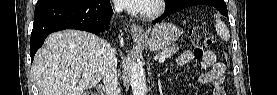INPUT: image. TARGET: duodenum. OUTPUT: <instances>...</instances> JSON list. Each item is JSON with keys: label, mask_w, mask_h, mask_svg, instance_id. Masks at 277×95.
Instances as JSON below:
<instances>
[{"label": "duodenum", "mask_w": 277, "mask_h": 95, "mask_svg": "<svg viewBox=\"0 0 277 95\" xmlns=\"http://www.w3.org/2000/svg\"><path fill=\"white\" fill-rule=\"evenodd\" d=\"M103 92H104L103 88H102V87H99V88H98V94L103 95Z\"/></svg>", "instance_id": "1"}]
</instances>
